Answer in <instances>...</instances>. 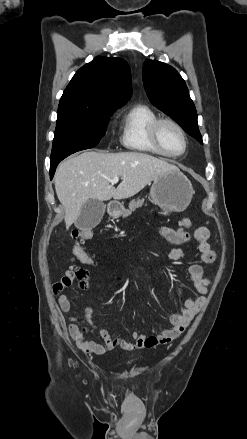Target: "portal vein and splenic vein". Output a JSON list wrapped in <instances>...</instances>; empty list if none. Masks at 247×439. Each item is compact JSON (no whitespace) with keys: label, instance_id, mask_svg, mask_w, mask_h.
Instances as JSON below:
<instances>
[{"label":"portal vein and splenic vein","instance_id":"1","mask_svg":"<svg viewBox=\"0 0 247 439\" xmlns=\"http://www.w3.org/2000/svg\"><path fill=\"white\" fill-rule=\"evenodd\" d=\"M118 181H119V177H114V178H112V179L110 180V183H111V184H116V183H118Z\"/></svg>","mask_w":247,"mask_h":439}]
</instances>
